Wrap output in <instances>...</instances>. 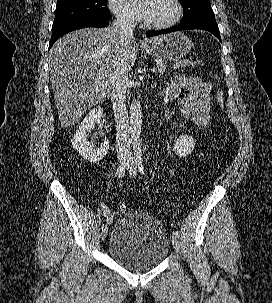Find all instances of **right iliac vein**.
Here are the masks:
<instances>
[{
    "label": "right iliac vein",
    "mask_w": 272,
    "mask_h": 303,
    "mask_svg": "<svg viewBox=\"0 0 272 303\" xmlns=\"http://www.w3.org/2000/svg\"><path fill=\"white\" fill-rule=\"evenodd\" d=\"M125 164H126V158H125V156L121 155L119 157V165L123 166ZM107 233H108V229L107 228H105V229L102 230V232H101V239L102 240H104L106 238Z\"/></svg>",
    "instance_id": "right-iliac-vein-1"
}]
</instances>
